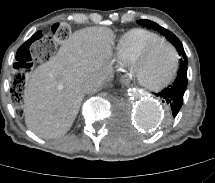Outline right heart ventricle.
I'll list each match as a JSON object with an SVG mask.
<instances>
[{
  "instance_id": "1",
  "label": "right heart ventricle",
  "mask_w": 215,
  "mask_h": 183,
  "mask_svg": "<svg viewBox=\"0 0 215 183\" xmlns=\"http://www.w3.org/2000/svg\"><path fill=\"white\" fill-rule=\"evenodd\" d=\"M162 39L158 34L141 28H135L124 33L118 40L116 55L127 68L134 58L150 43Z\"/></svg>"
}]
</instances>
